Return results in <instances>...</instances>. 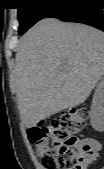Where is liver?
I'll return each instance as SVG.
<instances>
[{
    "label": "liver",
    "mask_w": 104,
    "mask_h": 169,
    "mask_svg": "<svg viewBox=\"0 0 104 169\" xmlns=\"http://www.w3.org/2000/svg\"><path fill=\"white\" fill-rule=\"evenodd\" d=\"M104 74V34L46 18L20 39L14 86L26 128L83 103Z\"/></svg>",
    "instance_id": "6515ba94"
}]
</instances>
